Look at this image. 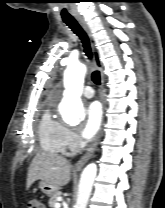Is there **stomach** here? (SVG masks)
I'll return each mask as SVG.
<instances>
[{"label":"stomach","mask_w":165,"mask_h":208,"mask_svg":"<svg viewBox=\"0 0 165 208\" xmlns=\"http://www.w3.org/2000/svg\"><path fill=\"white\" fill-rule=\"evenodd\" d=\"M39 188L47 196H52L58 190L54 185L47 183L45 181L40 182Z\"/></svg>","instance_id":"0dacf381"}]
</instances>
